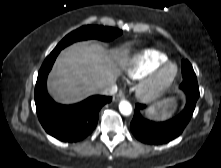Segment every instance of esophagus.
Listing matches in <instances>:
<instances>
[{
  "label": "esophagus",
  "mask_w": 221,
  "mask_h": 168,
  "mask_svg": "<svg viewBox=\"0 0 221 168\" xmlns=\"http://www.w3.org/2000/svg\"><path fill=\"white\" fill-rule=\"evenodd\" d=\"M122 99H124V95L122 93H118V94L113 96V101L114 102H118V101H120Z\"/></svg>",
  "instance_id": "obj_1"
}]
</instances>
